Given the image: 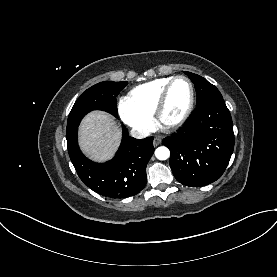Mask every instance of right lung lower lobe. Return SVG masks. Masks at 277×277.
<instances>
[{"label": "right lung lower lobe", "mask_w": 277, "mask_h": 277, "mask_svg": "<svg viewBox=\"0 0 277 277\" xmlns=\"http://www.w3.org/2000/svg\"><path fill=\"white\" fill-rule=\"evenodd\" d=\"M77 131L66 135L68 153L82 182L93 191L109 198H126L138 194L146 185V166L153 152V137L135 139L123 126V138L115 157L95 163L79 149Z\"/></svg>", "instance_id": "1"}]
</instances>
